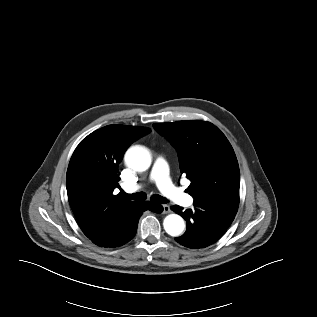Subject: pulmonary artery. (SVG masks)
<instances>
[{"label": "pulmonary artery", "mask_w": 317, "mask_h": 317, "mask_svg": "<svg viewBox=\"0 0 317 317\" xmlns=\"http://www.w3.org/2000/svg\"><path fill=\"white\" fill-rule=\"evenodd\" d=\"M150 179L156 183L157 187L164 196L174 203L184 207L193 205V197L184 193L172 183L169 177L168 164L163 157L159 156L155 160L150 174ZM141 188V184H133L126 186L125 191L126 193L131 194L139 191Z\"/></svg>", "instance_id": "pulmonary-artery-1"}]
</instances>
